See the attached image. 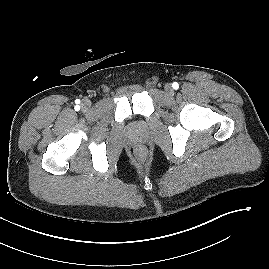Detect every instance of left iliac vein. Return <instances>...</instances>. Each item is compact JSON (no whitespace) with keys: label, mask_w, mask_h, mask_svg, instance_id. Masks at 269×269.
Listing matches in <instances>:
<instances>
[{"label":"left iliac vein","mask_w":269,"mask_h":269,"mask_svg":"<svg viewBox=\"0 0 269 269\" xmlns=\"http://www.w3.org/2000/svg\"><path fill=\"white\" fill-rule=\"evenodd\" d=\"M164 88H165V91H166L168 94H170V95L173 94V88H172L171 84H168V83H167V84L165 85Z\"/></svg>","instance_id":"1"}]
</instances>
